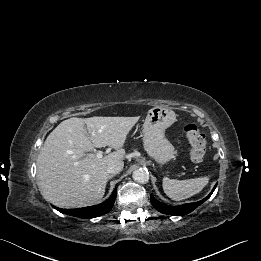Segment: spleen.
<instances>
[{
	"instance_id": "obj_1",
	"label": "spleen",
	"mask_w": 261,
	"mask_h": 261,
	"mask_svg": "<svg viewBox=\"0 0 261 261\" xmlns=\"http://www.w3.org/2000/svg\"><path fill=\"white\" fill-rule=\"evenodd\" d=\"M209 182V177H200L188 180L163 178V190L173 200L179 201L190 198L199 193Z\"/></svg>"
}]
</instances>
